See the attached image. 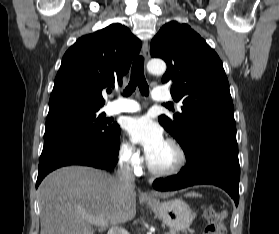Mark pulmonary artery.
Masks as SVG:
<instances>
[{"label":"pulmonary artery","mask_w":279,"mask_h":234,"mask_svg":"<svg viewBox=\"0 0 279 234\" xmlns=\"http://www.w3.org/2000/svg\"><path fill=\"white\" fill-rule=\"evenodd\" d=\"M171 98V95L166 91L156 89L152 94V99L157 102L167 101ZM140 110V105L134 100L119 98L110 102L106 111L109 115H117L121 113H135Z\"/></svg>","instance_id":"pulmonary-artery-1"}]
</instances>
